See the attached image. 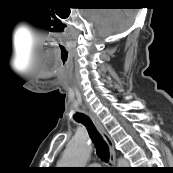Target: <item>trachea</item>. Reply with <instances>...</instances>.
<instances>
[{
  "label": "trachea",
  "instance_id": "obj_1",
  "mask_svg": "<svg viewBox=\"0 0 173 173\" xmlns=\"http://www.w3.org/2000/svg\"><path fill=\"white\" fill-rule=\"evenodd\" d=\"M74 119L86 126L89 136L95 145L98 157L107 163L109 161V147L102 135L96 129L91 119L85 114H78L74 117Z\"/></svg>",
  "mask_w": 173,
  "mask_h": 173
}]
</instances>
